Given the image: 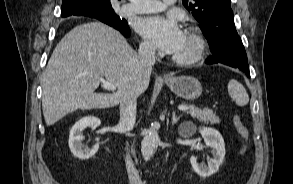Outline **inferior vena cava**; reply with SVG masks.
I'll return each mask as SVG.
<instances>
[{"mask_svg":"<svg viewBox=\"0 0 293 184\" xmlns=\"http://www.w3.org/2000/svg\"><path fill=\"white\" fill-rule=\"evenodd\" d=\"M155 47L149 43H142L138 50L139 61L146 72L151 73L155 63ZM134 91L125 92L120 99V126L124 131H130L136 120L137 97ZM126 168L130 184H142L138 171L129 154L126 155Z\"/></svg>","mask_w":293,"mask_h":184,"instance_id":"obj_1","label":"inferior vena cava"}]
</instances>
